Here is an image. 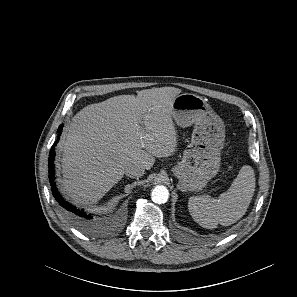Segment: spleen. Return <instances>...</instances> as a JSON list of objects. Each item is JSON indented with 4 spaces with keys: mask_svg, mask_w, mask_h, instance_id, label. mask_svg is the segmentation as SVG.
<instances>
[{
    "mask_svg": "<svg viewBox=\"0 0 297 297\" xmlns=\"http://www.w3.org/2000/svg\"><path fill=\"white\" fill-rule=\"evenodd\" d=\"M256 178L254 170L244 165L227 192L218 199L209 196L190 197L188 209L193 219L207 229L218 224L229 226L246 213L254 195Z\"/></svg>",
    "mask_w": 297,
    "mask_h": 297,
    "instance_id": "3e777b00",
    "label": "spleen"
}]
</instances>
